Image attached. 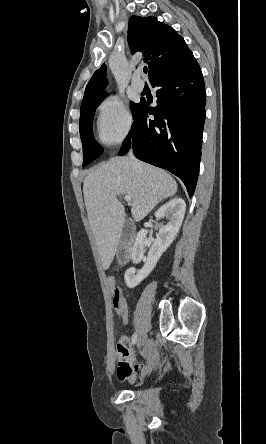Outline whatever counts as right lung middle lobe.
Instances as JSON below:
<instances>
[{"instance_id":"right-lung-middle-lobe-1","label":"right lung middle lobe","mask_w":266,"mask_h":444,"mask_svg":"<svg viewBox=\"0 0 266 444\" xmlns=\"http://www.w3.org/2000/svg\"><path fill=\"white\" fill-rule=\"evenodd\" d=\"M105 95L82 103L80 107L79 130L83 144V167L97 159L103 152L102 148L95 142L92 132V121L95 109L99 106ZM140 103L131 102L133 117L140 108Z\"/></svg>"}]
</instances>
